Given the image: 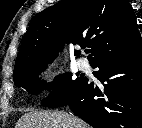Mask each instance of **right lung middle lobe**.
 <instances>
[{"label":"right lung middle lobe","mask_w":142,"mask_h":128,"mask_svg":"<svg viewBox=\"0 0 142 128\" xmlns=\"http://www.w3.org/2000/svg\"><path fill=\"white\" fill-rule=\"evenodd\" d=\"M49 62L48 60H40L15 69L13 72L15 85L23 87L29 93L36 94L44 88L45 82L41 81L38 76ZM85 80L86 78L81 76L73 78L71 73L57 76L53 83L46 84V89L53 88V90L42 104L50 108L68 105Z\"/></svg>","instance_id":"obj_1"}]
</instances>
